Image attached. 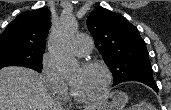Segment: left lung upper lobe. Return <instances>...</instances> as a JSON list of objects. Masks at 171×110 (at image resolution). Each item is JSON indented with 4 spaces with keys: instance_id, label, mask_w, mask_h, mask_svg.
I'll return each instance as SVG.
<instances>
[{
    "instance_id": "5c2ea615",
    "label": "left lung upper lobe",
    "mask_w": 171,
    "mask_h": 110,
    "mask_svg": "<svg viewBox=\"0 0 171 110\" xmlns=\"http://www.w3.org/2000/svg\"><path fill=\"white\" fill-rule=\"evenodd\" d=\"M87 26L113 73V85L154 81L145 42L134 25L120 14L97 7L88 17Z\"/></svg>"
}]
</instances>
